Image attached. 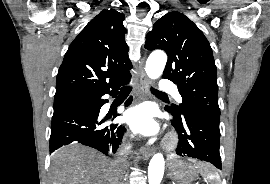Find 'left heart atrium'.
<instances>
[{"instance_id": "left-heart-atrium-1", "label": "left heart atrium", "mask_w": 270, "mask_h": 184, "mask_svg": "<svg viewBox=\"0 0 270 184\" xmlns=\"http://www.w3.org/2000/svg\"><path fill=\"white\" fill-rule=\"evenodd\" d=\"M125 121L134 132L145 136H155L160 132L153 111L147 105H139L129 109L125 113Z\"/></svg>"}]
</instances>
